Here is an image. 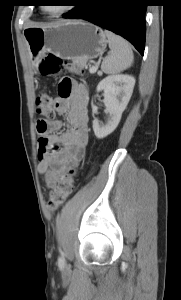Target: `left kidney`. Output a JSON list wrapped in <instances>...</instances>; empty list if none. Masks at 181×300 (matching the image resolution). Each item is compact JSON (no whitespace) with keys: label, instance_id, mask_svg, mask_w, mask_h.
<instances>
[{"label":"left kidney","instance_id":"1","mask_svg":"<svg viewBox=\"0 0 181 300\" xmlns=\"http://www.w3.org/2000/svg\"><path fill=\"white\" fill-rule=\"evenodd\" d=\"M134 85L135 78L126 74L111 75L99 82L97 92L104 91L103 102L109 118L105 124L94 119L93 130L97 138H105L116 129L132 96Z\"/></svg>","mask_w":181,"mask_h":300}]
</instances>
